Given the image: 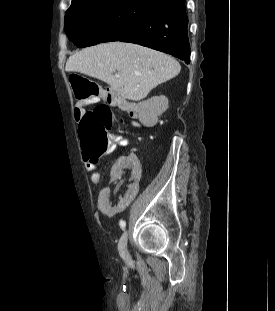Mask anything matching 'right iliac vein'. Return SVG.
I'll return each mask as SVG.
<instances>
[{
	"instance_id": "1",
	"label": "right iliac vein",
	"mask_w": 275,
	"mask_h": 311,
	"mask_svg": "<svg viewBox=\"0 0 275 311\" xmlns=\"http://www.w3.org/2000/svg\"><path fill=\"white\" fill-rule=\"evenodd\" d=\"M127 241H128V231H124V233L122 234L119 243H118V249L120 252V255L124 258V259H128L129 258V252L127 249Z\"/></svg>"
}]
</instances>
